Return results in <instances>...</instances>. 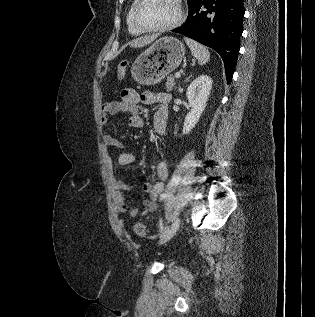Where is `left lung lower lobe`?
I'll list each match as a JSON object with an SVG mask.
<instances>
[{
  "label": "left lung lower lobe",
  "mask_w": 315,
  "mask_h": 317,
  "mask_svg": "<svg viewBox=\"0 0 315 317\" xmlns=\"http://www.w3.org/2000/svg\"><path fill=\"white\" fill-rule=\"evenodd\" d=\"M244 0H192L186 22L173 29L217 51L230 84L243 32Z\"/></svg>",
  "instance_id": "obj_1"
}]
</instances>
